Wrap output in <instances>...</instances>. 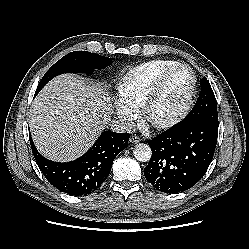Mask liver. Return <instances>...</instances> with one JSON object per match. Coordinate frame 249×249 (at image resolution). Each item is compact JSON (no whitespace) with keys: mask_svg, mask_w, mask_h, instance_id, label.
<instances>
[{"mask_svg":"<svg viewBox=\"0 0 249 249\" xmlns=\"http://www.w3.org/2000/svg\"><path fill=\"white\" fill-rule=\"evenodd\" d=\"M112 110L107 91L63 74L51 80L30 110V131L40 153L55 161L78 158L94 143Z\"/></svg>","mask_w":249,"mask_h":249,"instance_id":"6515ba94","label":"liver"}]
</instances>
